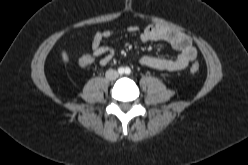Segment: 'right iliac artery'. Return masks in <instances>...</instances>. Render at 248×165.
I'll return each instance as SVG.
<instances>
[{
	"mask_svg": "<svg viewBox=\"0 0 248 165\" xmlns=\"http://www.w3.org/2000/svg\"><path fill=\"white\" fill-rule=\"evenodd\" d=\"M118 72H119L120 74H122V73H123V69L120 68V69L118 70Z\"/></svg>",
	"mask_w": 248,
	"mask_h": 165,
	"instance_id": "1",
	"label": "right iliac artery"
}]
</instances>
